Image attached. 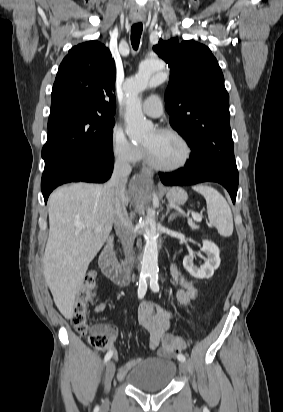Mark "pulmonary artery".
Instances as JSON below:
<instances>
[{
	"label": "pulmonary artery",
	"mask_w": 283,
	"mask_h": 412,
	"mask_svg": "<svg viewBox=\"0 0 283 412\" xmlns=\"http://www.w3.org/2000/svg\"><path fill=\"white\" fill-rule=\"evenodd\" d=\"M142 110L145 115L152 118L161 116L163 113L162 99L157 95L148 97L142 105Z\"/></svg>",
	"instance_id": "e3ab8cb5"
}]
</instances>
